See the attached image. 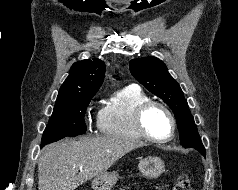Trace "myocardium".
Segmentation results:
<instances>
[{
	"instance_id": "1",
	"label": "myocardium",
	"mask_w": 238,
	"mask_h": 190,
	"mask_svg": "<svg viewBox=\"0 0 238 190\" xmlns=\"http://www.w3.org/2000/svg\"><path fill=\"white\" fill-rule=\"evenodd\" d=\"M154 107H158L162 109L166 115L168 116L170 123H171V129L167 136L165 137H156L150 134L145 126V116L148 113V111ZM135 126L138 130V132L143 136V138L155 142V143H164L169 141L175 134L176 130V119L172 113V111L162 102L155 101V100H148L144 103H142L135 111L134 116Z\"/></svg>"
}]
</instances>
